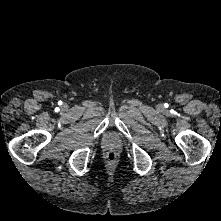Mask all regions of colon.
<instances>
[{
	"label": "colon",
	"mask_w": 221,
	"mask_h": 221,
	"mask_svg": "<svg viewBox=\"0 0 221 221\" xmlns=\"http://www.w3.org/2000/svg\"><path fill=\"white\" fill-rule=\"evenodd\" d=\"M106 158L109 164H113L116 160V156L113 152H108Z\"/></svg>",
	"instance_id": "colon-1"
}]
</instances>
